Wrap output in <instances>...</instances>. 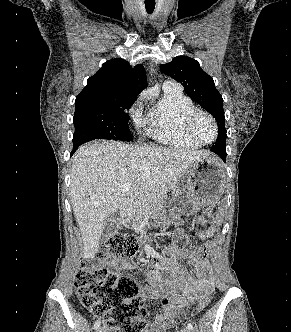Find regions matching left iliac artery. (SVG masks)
Segmentation results:
<instances>
[{
    "label": "left iliac artery",
    "mask_w": 291,
    "mask_h": 332,
    "mask_svg": "<svg viewBox=\"0 0 291 332\" xmlns=\"http://www.w3.org/2000/svg\"><path fill=\"white\" fill-rule=\"evenodd\" d=\"M187 328H188L189 330H193V325H192L191 323H188V324H187Z\"/></svg>",
    "instance_id": "obj_1"
}]
</instances>
